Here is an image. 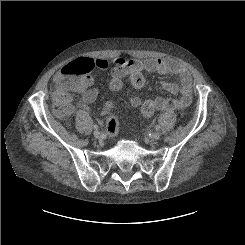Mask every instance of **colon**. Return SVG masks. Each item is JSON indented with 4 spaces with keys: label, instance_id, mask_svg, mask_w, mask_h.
<instances>
[{
    "label": "colon",
    "instance_id": "1",
    "mask_svg": "<svg viewBox=\"0 0 245 245\" xmlns=\"http://www.w3.org/2000/svg\"><path fill=\"white\" fill-rule=\"evenodd\" d=\"M97 70L95 60L78 56L69 61L62 67L61 75L55 80V98L56 112L60 117H66L71 113V106L68 99V93L80 91L92 81V73ZM130 86L139 90L144 86V77L138 72H134L129 78ZM120 88L119 79L113 80V90L110 95ZM115 106L112 100L105 101L104 110L107 114H111ZM155 109L152 99H147L141 106V114L149 118ZM106 129L108 133L115 134L118 130V122L116 119L110 118L107 122Z\"/></svg>",
    "mask_w": 245,
    "mask_h": 245
}]
</instances>
